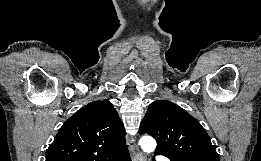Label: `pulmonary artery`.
Segmentation results:
<instances>
[{
  "label": "pulmonary artery",
  "mask_w": 261,
  "mask_h": 161,
  "mask_svg": "<svg viewBox=\"0 0 261 161\" xmlns=\"http://www.w3.org/2000/svg\"><path fill=\"white\" fill-rule=\"evenodd\" d=\"M159 161H170L168 158H166V157H161L160 159H159Z\"/></svg>",
  "instance_id": "e3ab8cb5"
}]
</instances>
